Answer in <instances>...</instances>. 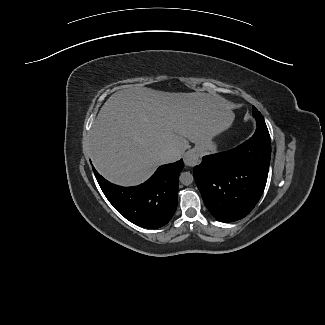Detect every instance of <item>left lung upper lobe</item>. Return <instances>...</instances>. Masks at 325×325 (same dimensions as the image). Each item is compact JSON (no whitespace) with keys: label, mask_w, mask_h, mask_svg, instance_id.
<instances>
[{"label":"left lung upper lobe","mask_w":325,"mask_h":325,"mask_svg":"<svg viewBox=\"0 0 325 325\" xmlns=\"http://www.w3.org/2000/svg\"><path fill=\"white\" fill-rule=\"evenodd\" d=\"M253 116H262L261 113L254 107L253 108V112H252Z\"/></svg>","instance_id":"1"}]
</instances>
